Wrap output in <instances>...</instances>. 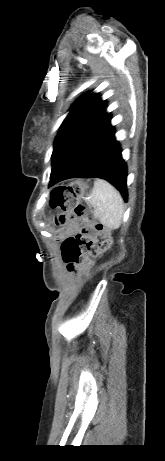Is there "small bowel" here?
I'll return each mask as SVG.
<instances>
[{
  "instance_id": "obj_1",
  "label": "small bowel",
  "mask_w": 165,
  "mask_h": 461,
  "mask_svg": "<svg viewBox=\"0 0 165 461\" xmlns=\"http://www.w3.org/2000/svg\"><path fill=\"white\" fill-rule=\"evenodd\" d=\"M91 225H79L74 221L68 229H59L53 233V240L61 244V262L69 274H78L80 266L86 265L87 242H91Z\"/></svg>"
}]
</instances>
